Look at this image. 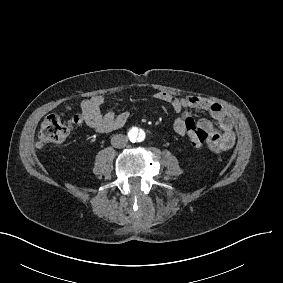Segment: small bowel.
Instances as JSON below:
<instances>
[{
    "mask_svg": "<svg viewBox=\"0 0 283 283\" xmlns=\"http://www.w3.org/2000/svg\"><path fill=\"white\" fill-rule=\"evenodd\" d=\"M151 97L169 104L176 112L173 128L178 135L185 136L182 127L188 117L193 116L194 113L208 112L214 122L201 119L203 129H207L212 137L207 147L215 153H221L234 146L236 134L233 117L219 103L200 95L177 97L167 91H156ZM103 103L102 95H94L82 101L81 110L87 125L99 133H108L123 127L129 119V113L127 111L103 113L101 110Z\"/></svg>",
    "mask_w": 283,
    "mask_h": 283,
    "instance_id": "c3829d8e",
    "label": "small bowel"
}]
</instances>
